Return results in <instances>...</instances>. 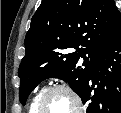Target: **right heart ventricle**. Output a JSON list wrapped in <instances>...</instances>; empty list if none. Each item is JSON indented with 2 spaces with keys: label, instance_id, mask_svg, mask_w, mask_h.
Wrapping results in <instances>:
<instances>
[{
  "label": "right heart ventricle",
  "instance_id": "obj_1",
  "mask_svg": "<svg viewBox=\"0 0 121 113\" xmlns=\"http://www.w3.org/2000/svg\"><path fill=\"white\" fill-rule=\"evenodd\" d=\"M40 95H41V92L38 93V94L34 97L33 102H32V104H31V108H30L31 110H34L35 105H36V102L38 101Z\"/></svg>",
  "mask_w": 121,
  "mask_h": 113
}]
</instances>
